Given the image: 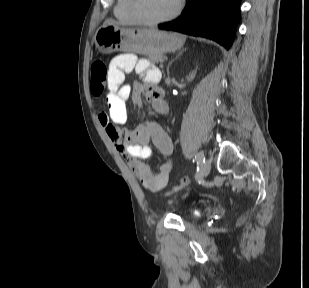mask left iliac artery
<instances>
[{
	"label": "left iliac artery",
	"mask_w": 309,
	"mask_h": 288,
	"mask_svg": "<svg viewBox=\"0 0 309 288\" xmlns=\"http://www.w3.org/2000/svg\"><path fill=\"white\" fill-rule=\"evenodd\" d=\"M195 160L198 164L204 163L205 162L204 154L199 152L198 154L195 155Z\"/></svg>",
	"instance_id": "obj_1"
}]
</instances>
